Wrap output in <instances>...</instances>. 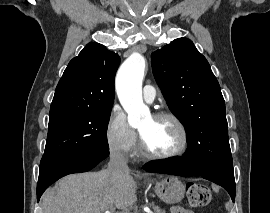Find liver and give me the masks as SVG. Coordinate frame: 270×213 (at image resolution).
<instances>
[{"instance_id":"6515ba94","label":"liver","mask_w":270,"mask_h":213,"mask_svg":"<svg viewBox=\"0 0 270 213\" xmlns=\"http://www.w3.org/2000/svg\"><path fill=\"white\" fill-rule=\"evenodd\" d=\"M137 184L133 176H115L108 169L72 174L42 196L43 213H103L125 210L137 202Z\"/></svg>"}]
</instances>
